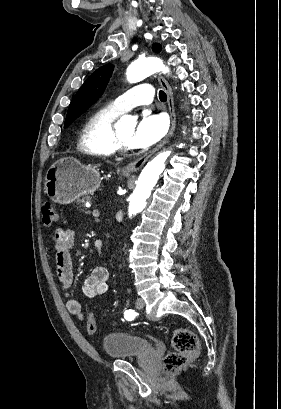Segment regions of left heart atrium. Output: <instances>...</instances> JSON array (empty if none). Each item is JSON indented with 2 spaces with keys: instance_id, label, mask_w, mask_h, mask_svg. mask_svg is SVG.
Listing matches in <instances>:
<instances>
[{
  "instance_id": "39dd6f15",
  "label": "left heart atrium",
  "mask_w": 281,
  "mask_h": 409,
  "mask_svg": "<svg viewBox=\"0 0 281 409\" xmlns=\"http://www.w3.org/2000/svg\"><path fill=\"white\" fill-rule=\"evenodd\" d=\"M167 127V121L162 114L144 116L134 130L133 147L148 148L154 145L165 135Z\"/></svg>"
}]
</instances>
